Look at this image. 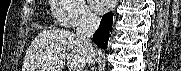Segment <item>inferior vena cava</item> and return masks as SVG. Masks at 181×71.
Segmentation results:
<instances>
[{
    "label": "inferior vena cava",
    "mask_w": 181,
    "mask_h": 71,
    "mask_svg": "<svg viewBox=\"0 0 181 71\" xmlns=\"http://www.w3.org/2000/svg\"><path fill=\"white\" fill-rule=\"evenodd\" d=\"M100 19L93 13H85L81 17L76 28L77 41L87 52V63L92 65L95 63V51L91 42V37L97 30Z\"/></svg>",
    "instance_id": "obj_1"
}]
</instances>
